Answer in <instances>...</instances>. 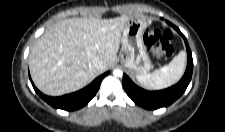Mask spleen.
I'll return each mask as SVG.
<instances>
[{
    "label": "spleen",
    "instance_id": "1",
    "mask_svg": "<svg viewBox=\"0 0 225 132\" xmlns=\"http://www.w3.org/2000/svg\"><path fill=\"white\" fill-rule=\"evenodd\" d=\"M186 66V53L181 51L172 61L155 70L151 74L137 75V81L145 88L161 90L168 88L178 82L182 77Z\"/></svg>",
    "mask_w": 225,
    "mask_h": 132
}]
</instances>
